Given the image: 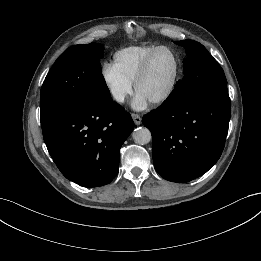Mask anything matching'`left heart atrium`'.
<instances>
[{"mask_svg":"<svg viewBox=\"0 0 261 261\" xmlns=\"http://www.w3.org/2000/svg\"><path fill=\"white\" fill-rule=\"evenodd\" d=\"M147 99L141 94L137 93L133 100V107L136 109H141L147 105Z\"/></svg>","mask_w":261,"mask_h":261,"instance_id":"39dd6f15","label":"left heart atrium"}]
</instances>
